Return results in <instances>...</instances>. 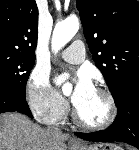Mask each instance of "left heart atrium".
I'll return each mask as SVG.
<instances>
[{
    "label": "left heart atrium",
    "instance_id": "left-heart-atrium-1",
    "mask_svg": "<svg viewBox=\"0 0 139 150\" xmlns=\"http://www.w3.org/2000/svg\"><path fill=\"white\" fill-rule=\"evenodd\" d=\"M66 76H61L58 78V83L61 84L66 80ZM77 84L75 86L72 101L74 104L78 103L84 96L88 95L94 90V86L90 75L85 71H80L77 74Z\"/></svg>",
    "mask_w": 139,
    "mask_h": 150
}]
</instances>
